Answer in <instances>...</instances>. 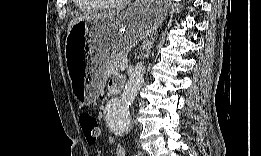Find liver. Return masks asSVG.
<instances>
[{
    "label": "liver",
    "instance_id": "1",
    "mask_svg": "<svg viewBox=\"0 0 261 156\" xmlns=\"http://www.w3.org/2000/svg\"><path fill=\"white\" fill-rule=\"evenodd\" d=\"M117 14L114 12H101V13H94L91 15H84V16H78L75 17L74 19H72L69 24H68V28L67 31L69 33V31L72 29V27L74 25H76L79 22L82 21H90V20H95V19H102V18H110V17H115Z\"/></svg>",
    "mask_w": 261,
    "mask_h": 156
}]
</instances>
